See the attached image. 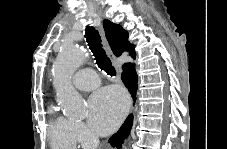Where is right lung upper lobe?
<instances>
[{"mask_svg": "<svg viewBox=\"0 0 227 149\" xmlns=\"http://www.w3.org/2000/svg\"><path fill=\"white\" fill-rule=\"evenodd\" d=\"M103 26L113 53L120 56L124 51H130V55L135 58L134 46L128 41V32L107 19L104 20Z\"/></svg>", "mask_w": 227, "mask_h": 149, "instance_id": "cb5924a9", "label": "right lung upper lobe"}]
</instances>
